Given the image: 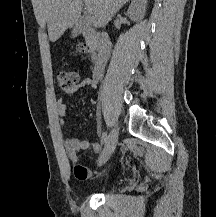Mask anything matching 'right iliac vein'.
Here are the masks:
<instances>
[{
  "label": "right iliac vein",
  "mask_w": 216,
  "mask_h": 217,
  "mask_svg": "<svg viewBox=\"0 0 216 217\" xmlns=\"http://www.w3.org/2000/svg\"><path fill=\"white\" fill-rule=\"evenodd\" d=\"M117 141H118V129L114 128L110 132L106 145L99 157L98 160L99 166L105 164L109 160V158L111 157V155L113 154L116 148Z\"/></svg>",
  "instance_id": "obj_1"
}]
</instances>
